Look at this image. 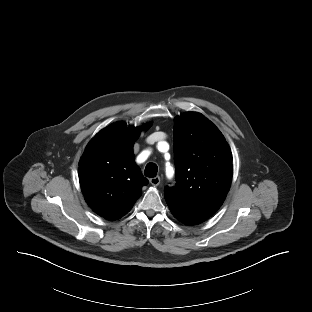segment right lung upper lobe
I'll return each instance as SVG.
<instances>
[{"label":"right lung upper lobe","instance_id":"obj_1","mask_svg":"<svg viewBox=\"0 0 312 312\" xmlns=\"http://www.w3.org/2000/svg\"><path fill=\"white\" fill-rule=\"evenodd\" d=\"M151 124L143 126L148 129ZM140 128L117 122L101 130L79 161V181L86 202L98 215L117 220L128 213L148 184L134 163L133 144Z\"/></svg>","mask_w":312,"mask_h":312}]
</instances>
